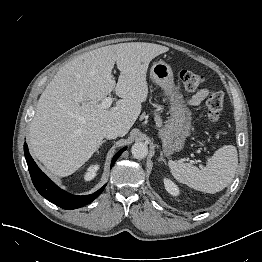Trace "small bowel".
Returning a JSON list of instances; mask_svg holds the SVG:
<instances>
[{"label":"small bowel","instance_id":"obj_1","mask_svg":"<svg viewBox=\"0 0 262 262\" xmlns=\"http://www.w3.org/2000/svg\"><path fill=\"white\" fill-rule=\"evenodd\" d=\"M208 94L209 91L207 89H200L191 97L188 103L190 105H198L207 98Z\"/></svg>","mask_w":262,"mask_h":262}]
</instances>
